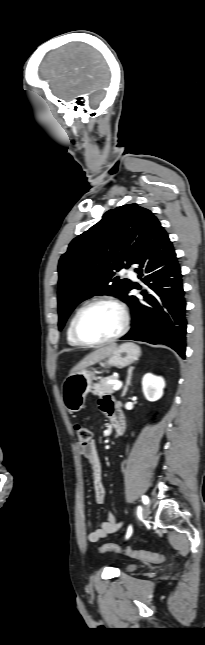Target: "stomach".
I'll return each instance as SVG.
<instances>
[{
  "label": "stomach",
  "instance_id": "obj_1",
  "mask_svg": "<svg viewBox=\"0 0 205 645\" xmlns=\"http://www.w3.org/2000/svg\"><path fill=\"white\" fill-rule=\"evenodd\" d=\"M140 348L128 342L118 346L105 360L109 366L126 367L139 359ZM94 372L88 369L68 375L62 384V396L66 409L70 413L79 412L85 404L87 394L92 388Z\"/></svg>",
  "mask_w": 205,
  "mask_h": 645
}]
</instances>
